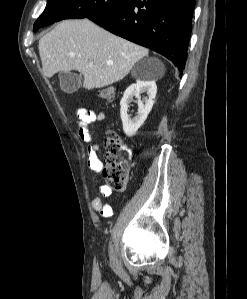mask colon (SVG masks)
Returning a JSON list of instances; mask_svg holds the SVG:
<instances>
[{
	"mask_svg": "<svg viewBox=\"0 0 247 299\" xmlns=\"http://www.w3.org/2000/svg\"><path fill=\"white\" fill-rule=\"evenodd\" d=\"M98 96L111 102L114 98V90L111 87L103 88L98 92ZM104 148L105 158L101 174L111 189L122 192L129 182L128 160L131 157V151L114 131L107 133Z\"/></svg>",
	"mask_w": 247,
	"mask_h": 299,
	"instance_id": "obj_1",
	"label": "colon"
}]
</instances>
